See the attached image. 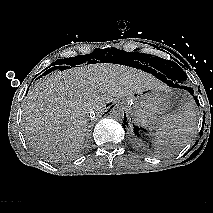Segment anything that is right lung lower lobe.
Returning <instances> with one entry per match:
<instances>
[{
    "mask_svg": "<svg viewBox=\"0 0 213 213\" xmlns=\"http://www.w3.org/2000/svg\"><path fill=\"white\" fill-rule=\"evenodd\" d=\"M64 66H59V65H55L52 68L48 69L45 73H50L54 70H56L57 68L62 69Z\"/></svg>",
    "mask_w": 213,
    "mask_h": 213,
    "instance_id": "obj_1",
    "label": "right lung lower lobe"
}]
</instances>
